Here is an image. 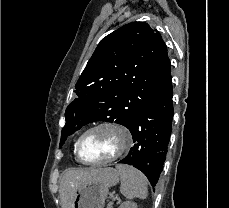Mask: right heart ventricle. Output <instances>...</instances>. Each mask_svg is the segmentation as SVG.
<instances>
[{
    "label": "right heart ventricle",
    "instance_id": "obj_1",
    "mask_svg": "<svg viewBox=\"0 0 229 208\" xmlns=\"http://www.w3.org/2000/svg\"><path fill=\"white\" fill-rule=\"evenodd\" d=\"M75 145H76V142H75L74 145H73V155H74V159H75L77 162H80V160H79V159L77 158V156H76Z\"/></svg>",
    "mask_w": 229,
    "mask_h": 208
}]
</instances>
